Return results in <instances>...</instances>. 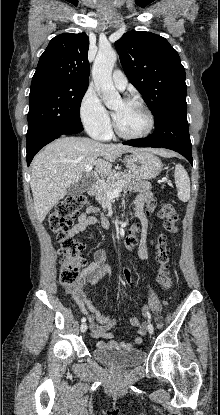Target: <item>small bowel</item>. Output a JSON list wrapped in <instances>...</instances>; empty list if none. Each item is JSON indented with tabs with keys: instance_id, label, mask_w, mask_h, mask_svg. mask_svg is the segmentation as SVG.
I'll return each mask as SVG.
<instances>
[{
	"instance_id": "obj_1",
	"label": "small bowel",
	"mask_w": 220,
	"mask_h": 415,
	"mask_svg": "<svg viewBox=\"0 0 220 415\" xmlns=\"http://www.w3.org/2000/svg\"><path fill=\"white\" fill-rule=\"evenodd\" d=\"M133 190L137 192L134 200V214L139 220V224L134 225L125 238V245L129 249H133L138 245V256L142 260H147L149 257L148 239H147V216L145 209H153L155 202L153 200L152 192L147 182H140ZM99 210L97 207L90 205L85 212L80 214L75 225L69 229V233L76 236L85 231L89 226L98 223L97 214ZM101 224L104 227L109 225L107 219H101ZM105 253L102 249H97L93 253V260L84 265L80 279L69 289L66 290L67 295L71 297L73 302L79 307L80 311L87 316L90 322V330L92 335L96 338L107 339V342L99 341L96 345L106 347L114 350H131L135 346L142 343V337L147 334L146 323L141 322L137 318H131L130 324L137 327V336L133 342H119L113 340L111 330L116 325V320L105 315L96 308L89 288L95 286L104 276H106L110 269L104 264Z\"/></svg>"
}]
</instances>
